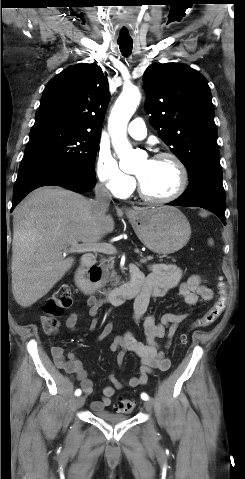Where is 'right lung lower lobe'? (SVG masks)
Listing matches in <instances>:
<instances>
[{
  "instance_id": "right-lung-lower-lobe-1",
  "label": "right lung lower lobe",
  "mask_w": 245,
  "mask_h": 479,
  "mask_svg": "<svg viewBox=\"0 0 245 479\" xmlns=\"http://www.w3.org/2000/svg\"><path fill=\"white\" fill-rule=\"evenodd\" d=\"M96 184L95 176L76 169L59 165H40L19 171L14 185L12 209L32 190L48 185H56L84 193Z\"/></svg>"
}]
</instances>
